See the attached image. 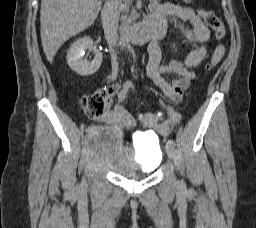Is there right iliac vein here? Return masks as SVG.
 I'll return each mask as SVG.
<instances>
[{"mask_svg": "<svg viewBox=\"0 0 256 228\" xmlns=\"http://www.w3.org/2000/svg\"><path fill=\"white\" fill-rule=\"evenodd\" d=\"M94 138L93 132H90V134H88L85 137V140L87 141V143H90V141ZM85 183V181H83V184Z\"/></svg>", "mask_w": 256, "mask_h": 228, "instance_id": "1", "label": "right iliac vein"}]
</instances>
